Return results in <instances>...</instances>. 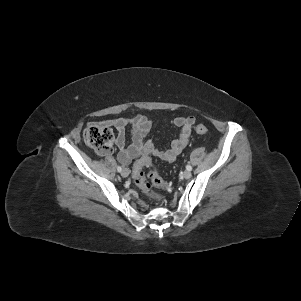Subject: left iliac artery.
<instances>
[{"label":"left iliac artery","instance_id":"1","mask_svg":"<svg viewBox=\"0 0 301 301\" xmlns=\"http://www.w3.org/2000/svg\"><path fill=\"white\" fill-rule=\"evenodd\" d=\"M186 169H187L188 171H191V170H192V167H191L190 165H187V166H186Z\"/></svg>","mask_w":301,"mask_h":301}]
</instances>
